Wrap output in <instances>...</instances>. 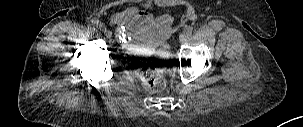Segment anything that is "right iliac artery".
<instances>
[{
  "instance_id": "right-iliac-artery-1",
  "label": "right iliac artery",
  "mask_w": 303,
  "mask_h": 127,
  "mask_svg": "<svg viewBox=\"0 0 303 127\" xmlns=\"http://www.w3.org/2000/svg\"><path fill=\"white\" fill-rule=\"evenodd\" d=\"M93 23L98 29L102 31L105 29V26L102 23H100L98 20H95Z\"/></svg>"
}]
</instances>
